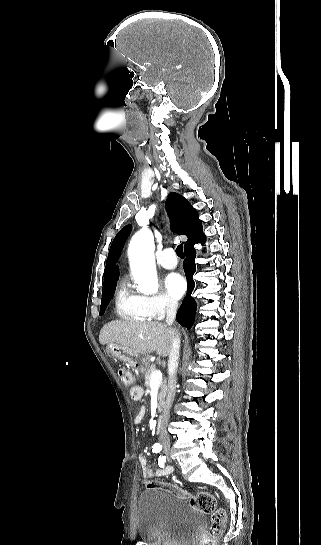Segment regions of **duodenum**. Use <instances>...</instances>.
I'll list each match as a JSON object with an SVG mask.
<instances>
[{"label":"duodenum","mask_w":321,"mask_h":545,"mask_svg":"<svg viewBox=\"0 0 321 545\" xmlns=\"http://www.w3.org/2000/svg\"><path fill=\"white\" fill-rule=\"evenodd\" d=\"M162 423H163V416L160 415L156 420V432L157 433H159L161 431Z\"/></svg>","instance_id":"410a0bca"}]
</instances>
